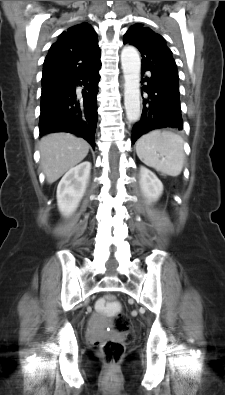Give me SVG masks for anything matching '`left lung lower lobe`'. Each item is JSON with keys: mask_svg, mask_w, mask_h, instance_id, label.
<instances>
[{"mask_svg": "<svg viewBox=\"0 0 225 395\" xmlns=\"http://www.w3.org/2000/svg\"><path fill=\"white\" fill-rule=\"evenodd\" d=\"M145 70L143 69V73ZM179 77L162 71H150V75L142 78V87L148 94L143 98L141 119L132 129V142L143 134L158 128L172 127L182 130L183 120L180 109Z\"/></svg>", "mask_w": 225, "mask_h": 395, "instance_id": "left-lung-lower-lobe-1", "label": "left lung lower lobe"}]
</instances>
